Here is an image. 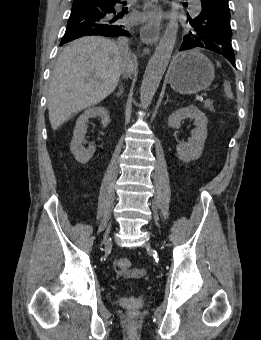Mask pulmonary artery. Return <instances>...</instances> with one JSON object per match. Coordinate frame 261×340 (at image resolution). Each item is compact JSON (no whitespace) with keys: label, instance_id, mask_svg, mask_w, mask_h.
Segmentation results:
<instances>
[{"label":"pulmonary artery","instance_id":"pulmonary-artery-1","mask_svg":"<svg viewBox=\"0 0 261 340\" xmlns=\"http://www.w3.org/2000/svg\"><path fill=\"white\" fill-rule=\"evenodd\" d=\"M191 5L195 8V13H198L200 9L199 0H189Z\"/></svg>","mask_w":261,"mask_h":340}]
</instances>
